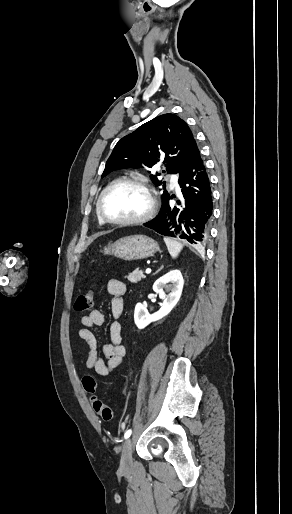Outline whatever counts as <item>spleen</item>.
I'll use <instances>...</instances> for the list:
<instances>
[{"mask_svg": "<svg viewBox=\"0 0 292 514\" xmlns=\"http://www.w3.org/2000/svg\"><path fill=\"white\" fill-rule=\"evenodd\" d=\"M164 242L171 258H177L183 248V244L176 242V240H171V238H164Z\"/></svg>", "mask_w": 292, "mask_h": 514, "instance_id": "3e777b00", "label": "spleen"}]
</instances>
